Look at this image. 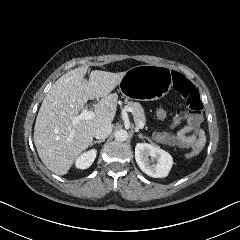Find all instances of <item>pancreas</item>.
Wrapping results in <instances>:
<instances>
[{
    "instance_id": "obj_1",
    "label": "pancreas",
    "mask_w": 240,
    "mask_h": 240,
    "mask_svg": "<svg viewBox=\"0 0 240 240\" xmlns=\"http://www.w3.org/2000/svg\"><path fill=\"white\" fill-rule=\"evenodd\" d=\"M112 98H114V96H112ZM125 104L127 107H130L133 109L132 115L136 125L146 122L144 109L142 108L140 103L125 100Z\"/></svg>"
}]
</instances>
